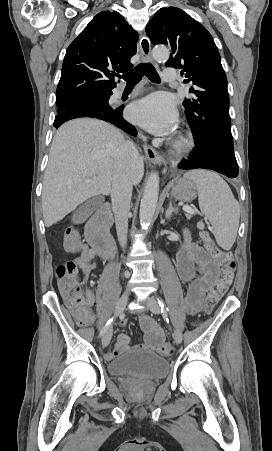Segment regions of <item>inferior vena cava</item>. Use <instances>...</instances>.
Segmentation results:
<instances>
[{
	"label": "inferior vena cava",
	"mask_w": 272,
	"mask_h": 451,
	"mask_svg": "<svg viewBox=\"0 0 272 451\" xmlns=\"http://www.w3.org/2000/svg\"><path fill=\"white\" fill-rule=\"evenodd\" d=\"M144 138V136H142ZM139 158L138 150L131 142L122 144L114 156L111 200L118 239L121 245L127 241L128 214L132 196L133 168Z\"/></svg>",
	"instance_id": "602c4592"
}]
</instances>
